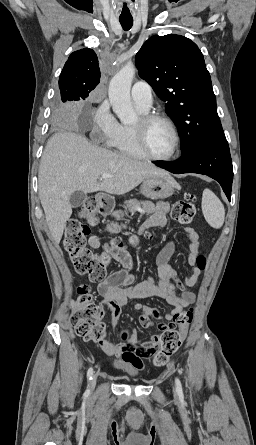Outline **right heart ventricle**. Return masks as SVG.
Instances as JSON below:
<instances>
[{"instance_id":"obj_1","label":"right heart ventricle","mask_w":256,"mask_h":445,"mask_svg":"<svg viewBox=\"0 0 256 445\" xmlns=\"http://www.w3.org/2000/svg\"><path fill=\"white\" fill-rule=\"evenodd\" d=\"M141 110V109H140ZM143 113L147 111L141 110ZM121 154L132 158H144L145 156L138 149L133 133L132 127L126 124L120 125L117 137L111 144Z\"/></svg>"}]
</instances>
